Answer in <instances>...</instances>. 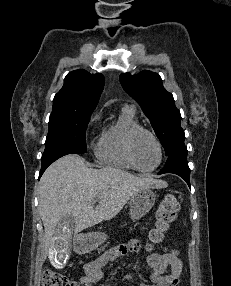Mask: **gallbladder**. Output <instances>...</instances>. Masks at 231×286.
I'll return each mask as SVG.
<instances>
[{"label":"gallbladder","mask_w":231,"mask_h":286,"mask_svg":"<svg viewBox=\"0 0 231 286\" xmlns=\"http://www.w3.org/2000/svg\"><path fill=\"white\" fill-rule=\"evenodd\" d=\"M75 228V218L72 213L65 214L60 217V221L55 226L56 236L53 237L49 246L50 263L56 269L64 268L70 258V250L72 241V229Z\"/></svg>","instance_id":"bac80fb5"}]
</instances>
